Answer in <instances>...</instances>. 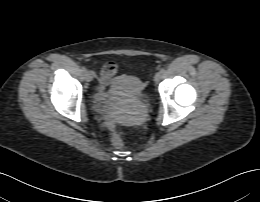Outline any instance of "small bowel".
<instances>
[{
  "label": "small bowel",
  "instance_id": "1",
  "mask_svg": "<svg viewBox=\"0 0 260 202\" xmlns=\"http://www.w3.org/2000/svg\"><path fill=\"white\" fill-rule=\"evenodd\" d=\"M108 88V83L107 82H103V85L98 93V98L99 99H102L104 97V94H105V91L107 90ZM104 122L107 126V128L109 130H113L114 129V126H115V121H114V118L112 116H110L109 114L105 115L104 116Z\"/></svg>",
  "mask_w": 260,
  "mask_h": 202
}]
</instances>
